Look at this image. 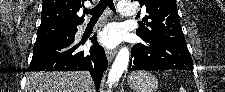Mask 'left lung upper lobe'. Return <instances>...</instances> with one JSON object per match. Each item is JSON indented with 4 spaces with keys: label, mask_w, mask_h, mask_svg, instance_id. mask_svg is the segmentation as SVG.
Masks as SVG:
<instances>
[{
    "label": "left lung upper lobe",
    "mask_w": 225,
    "mask_h": 92,
    "mask_svg": "<svg viewBox=\"0 0 225 92\" xmlns=\"http://www.w3.org/2000/svg\"><path fill=\"white\" fill-rule=\"evenodd\" d=\"M139 3L141 7L146 8L147 13L143 19L145 24L136 30L141 39L155 41L168 39L186 44L175 0H139Z\"/></svg>",
    "instance_id": "obj_1"
}]
</instances>
